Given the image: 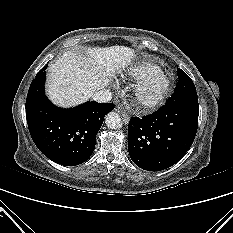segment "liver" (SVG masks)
I'll return each instance as SVG.
<instances>
[{
	"mask_svg": "<svg viewBox=\"0 0 233 233\" xmlns=\"http://www.w3.org/2000/svg\"><path fill=\"white\" fill-rule=\"evenodd\" d=\"M134 50L126 46L84 48L83 53L66 51L49 68L47 94L61 107L90 99L109 84V77L127 66Z\"/></svg>",
	"mask_w": 233,
	"mask_h": 233,
	"instance_id": "1",
	"label": "liver"
}]
</instances>
